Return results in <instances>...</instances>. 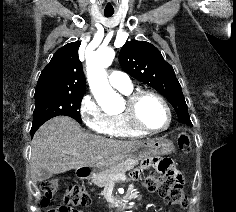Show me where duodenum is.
I'll list each match as a JSON object with an SVG mask.
<instances>
[{
  "mask_svg": "<svg viewBox=\"0 0 236 212\" xmlns=\"http://www.w3.org/2000/svg\"><path fill=\"white\" fill-rule=\"evenodd\" d=\"M91 173V171L89 169H81L79 171V175L83 178L89 176ZM130 200V195H126L124 196L123 198H121L119 201H118V204H117V210L120 211V212H123L125 206L128 204Z\"/></svg>",
  "mask_w": 236,
  "mask_h": 212,
  "instance_id": "duodenum-1",
  "label": "duodenum"
}]
</instances>
